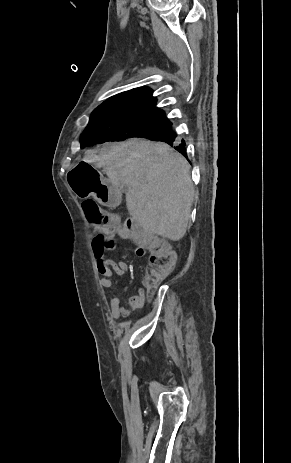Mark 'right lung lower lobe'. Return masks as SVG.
<instances>
[{
  "label": "right lung lower lobe",
  "mask_w": 291,
  "mask_h": 463,
  "mask_svg": "<svg viewBox=\"0 0 291 463\" xmlns=\"http://www.w3.org/2000/svg\"><path fill=\"white\" fill-rule=\"evenodd\" d=\"M167 121V120H166ZM168 122V121H167ZM170 125L168 126L167 129L164 131L158 132L152 136L146 137L149 140L152 141H162L170 146H173L178 152H180L183 156L187 157L186 153V148H185V142L182 140V143L177 145V134L176 132L172 129L171 123L168 122Z\"/></svg>",
  "instance_id": "obj_1"
}]
</instances>
